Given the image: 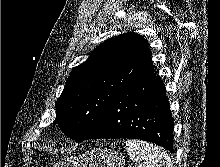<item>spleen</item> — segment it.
<instances>
[{"instance_id": "1", "label": "spleen", "mask_w": 220, "mask_h": 167, "mask_svg": "<svg viewBox=\"0 0 220 167\" xmlns=\"http://www.w3.org/2000/svg\"><path fill=\"white\" fill-rule=\"evenodd\" d=\"M125 148L137 167H172L170 156L166 151L141 140H128Z\"/></svg>"}]
</instances>
